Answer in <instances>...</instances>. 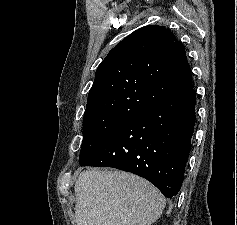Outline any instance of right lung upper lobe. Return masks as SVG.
Returning <instances> with one entry per match:
<instances>
[{
	"instance_id": "1",
	"label": "right lung upper lobe",
	"mask_w": 237,
	"mask_h": 225,
	"mask_svg": "<svg viewBox=\"0 0 237 225\" xmlns=\"http://www.w3.org/2000/svg\"><path fill=\"white\" fill-rule=\"evenodd\" d=\"M191 87L182 44L170 30L146 26L119 42L98 66L84 119L132 118Z\"/></svg>"
}]
</instances>
